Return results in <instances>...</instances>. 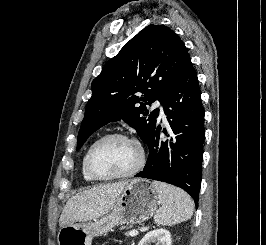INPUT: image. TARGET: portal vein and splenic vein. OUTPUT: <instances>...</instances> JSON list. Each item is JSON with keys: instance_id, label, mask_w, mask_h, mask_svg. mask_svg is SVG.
Listing matches in <instances>:
<instances>
[{"instance_id": "1", "label": "portal vein and splenic vein", "mask_w": 266, "mask_h": 245, "mask_svg": "<svg viewBox=\"0 0 266 245\" xmlns=\"http://www.w3.org/2000/svg\"><path fill=\"white\" fill-rule=\"evenodd\" d=\"M139 231H130L129 235L130 237H137Z\"/></svg>"}]
</instances>
